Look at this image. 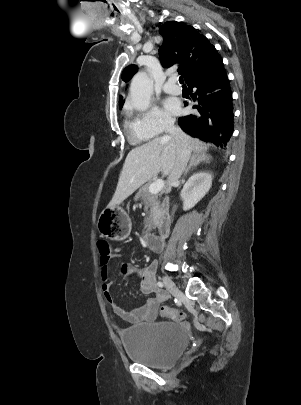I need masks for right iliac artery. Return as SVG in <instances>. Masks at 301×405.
I'll list each match as a JSON object with an SVG mask.
<instances>
[{
	"instance_id": "right-iliac-artery-1",
	"label": "right iliac artery",
	"mask_w": 301,
	"mask_h": 405,
	"mask_svg": "<svg viewBox=\"0 0 301 405\" xmlns=\"http://www.w3.org/2000/svg\"><path fill=\"white\" fill-rule=\"evenodd\" d=\"M157 285H158L160 288H163V287H164V284H163L161 281H159V282L157 283Z\"/></svg>"
}]
</instances>
